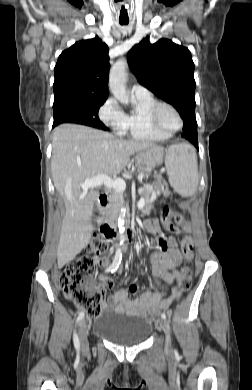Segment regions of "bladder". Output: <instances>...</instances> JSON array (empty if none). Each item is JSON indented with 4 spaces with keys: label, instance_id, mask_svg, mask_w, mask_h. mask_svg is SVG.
<instances>
[{
    "label": "bladder",
    "instance_id": "bladder-1",
    "mask_svg": "<svg viewBox=\"0 0 252 390\" xmlns=\"http://www.w3.org/2000/svg\"><path fill=\"white\" fill-rule=\"evenodd\" d=\"M93 333L120 346H135L147 340L149 323L138 316L106 314L93 324Z\"/></svg>",
    "mask_w": 252,
    "mask_h": 390
}]
</instances>
